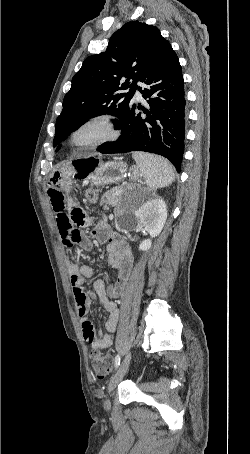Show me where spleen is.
Segmentation results:
<instances>
[{
  "mask_svg": "<svg viewBox=\"0 0 250 454\" xmlns=\"http://www.w3.org/2000/svg\"><path fill=\"white\" fill-rule=\"evenodd\" d=\"M133 158L141 176L150 189L167 187L175 180L174 169L168 160L163 157L135 152Z\"/></svg>",
  "mask_w": 250,
  "mask_h": 454,
  "instance_id": "1",
  "label": "spleen"
}]
</instances>
